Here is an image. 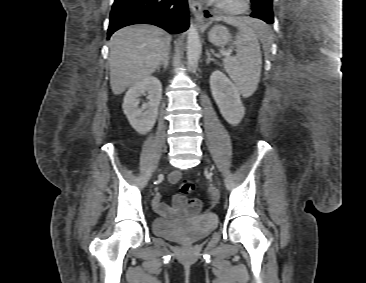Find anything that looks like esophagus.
<instances>
[{"label":"esophagus","mask_w":366,"mask_h":283,"mask_svg":"<svg viewBox=\"0 0 366 283\" xmlns=\"http://www.w3.org/2000/svg\"><path fill=\"white\" fill-rule=\"evenodd\" d=\"M188 2L190 9L193 15L195 16L196 20L201 24L202 27H204L203 25L204 17L202 13L201 3L198 0H188Z\"/></svg>","instance_id":"esophagus-1"}]
</instances>
